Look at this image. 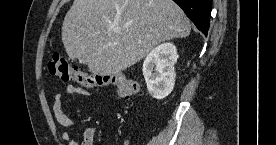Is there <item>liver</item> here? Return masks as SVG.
Returning a JSON list of instances; mask_svg holds the SVG:
<instances>
[{
	"instance_id": "6515ba94",
	"label": "liver",
	"mask_w": 276,
	"mask_h": 145,
	"mask_svg": "<svg viewBox=\"0 0 276 145\" xmlns=\"http://www.w3.org/2000/svg\"><path fill=\"white\" fill-rule=\"evenodd\" d=\"M191 26L173 0H74L62 24L71 59L82 58L94 75H114L156 45L189 36Z\"/></svg>"
}]
</instances>
